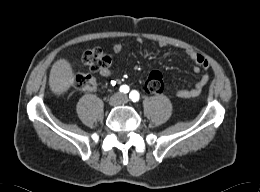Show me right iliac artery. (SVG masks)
I'll list each match as a JSON object with an SVG mask.
<instances>
[{
	"label": "right iliac artery",
	"instance_id": "right-iliac-artery-1",
	"mask_svg": "<svg viewBox=\"0 0 260 192\" xmlns=\"http://www.w3.org/2000/svg\"><path fill=\"white\" fill-rule=\"evenodd\" d=\"M120 92L122 93H128L129 92V87L127 85H122L120 87Z\"/></svg>",
	"mask_w": 260,
	"mask_h": 192
}]
</instances>
